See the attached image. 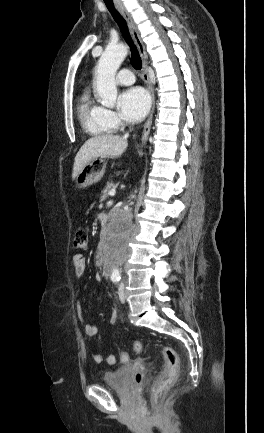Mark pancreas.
<instances>
[{
  "instance_id": "obj_1",
  "label": "pancreas",
  "mask_w": 264,
  "mask_h": 433,
  "mask_svg": "<svg viewBox=\"0 0 264 433\" xmlns=\"http://www.w3.org/2000/svg\"><path fill=\"white\" fill-rule=\"evenodd\" d=\"M112 190H115L114 183L113 182H107L104 190L101 193V197H100L101 201H104L108 197L109 192L112 191Z\"/></svg>"
}]
</instances>
